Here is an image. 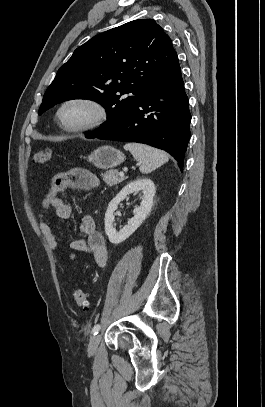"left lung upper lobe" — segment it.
Here are the masks:
<instances>
[{"instance_id": "1", "label": "left lung upper lobe", "mask_w": 265, "mask_h": 407, "mask_svg": "<svg viewBox=\"0 0 265 407\" xmlns=\"http://www.w3.org/2000/svg\"><path fill=\"white\" fill-rule=\"evenodd\" d=\"M180 68L170 37L154 20H134L77 48L47 88L39 115L62 101L91 99L107 121L87 135L105 134L125 118L150 88Z\"/></svg>"}]
</instances>
